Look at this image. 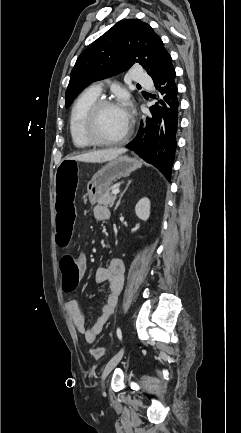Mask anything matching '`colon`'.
Segmentation results:
<instances>
[{
  "mask_svg": "<svg viewBox=\"0 0 241 433\" xmlns=\"http://www.w3.org/2000/svg\"><path fill=\"white\" fill-rule=\"evenodd\" d=\"M81 165L79 157H63L57 165L55 173V208L57 218L55 228L58 230L57 243L61 248H66L69 243V235L74 233L75 216L78 214L77 207H74V196L77 189L79 175L76 168ZM60 269L63 275V288L66 291L75 289L79 268L70 254H65L60 261ZM95 360L104 357L105 351L102 348H94L90 351Z\"/></svg>",
  "mask_w": 241,
  "mask_h": 433,
  "instance_id": "5ec220e1",
  "label": "colon"
}]
</instances>
